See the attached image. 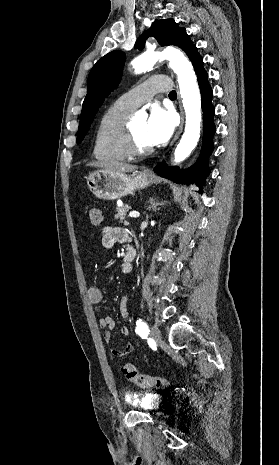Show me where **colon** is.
Here are the masks:
<instances>
[{
  "label": "colon",
  "mask_w": 279,
  "mask_h": 465,
  "mask_svg": "<svg viewBox=\"0 0 279 465\" xmlns=\"http://www.w3.org/2000/svg\"><path fill=\"white\" fill-rule=\"evenodd\" d=\"M89 218L94 226L101 225L103 221L101 210L96 206H91L89 208ZM121 371L130 382L144 389L165 388L171 384L170 380L166 378L141 374L134 365L129 363L124 364L121 367Z\"/></svg>",
  "instance_id": "5ec220e1"
}]
</instances>
